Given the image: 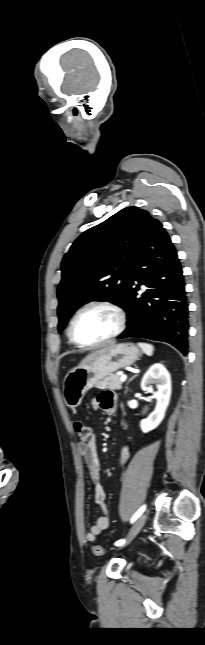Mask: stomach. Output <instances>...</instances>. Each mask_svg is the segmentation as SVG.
<instances>
[{"instance_id": "0dacf381", "label": "stomach", "mask_w": 205, "mask_h": 645, "mask_svg": "<svg viewBox=\"0 0 205 645\" xmlns=\"http://www.w3.org/2000/svg\"><path fill=\"white\" fill-rule=\"evenodd\" d=\"M141 356V351L132 343L117 344L111 351L98 356L81 367L68 372L63 382L66 405L79 406L86 392L113 372L132 365Z\"/></svg>"}]
</instances>
